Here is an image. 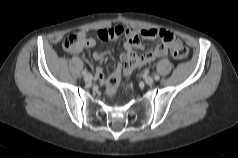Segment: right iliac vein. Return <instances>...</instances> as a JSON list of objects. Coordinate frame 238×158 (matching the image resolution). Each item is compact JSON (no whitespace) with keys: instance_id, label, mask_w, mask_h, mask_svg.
Wrapping results in <instances>:
<instances>
[{"instance_id":"obj_1","label":"right iliac vein","mask_w":238,"mask_h":158,"mask_svg":"<svg viewBox=\"0 0 238 158\" xmlns=\"http://www.w3.org/2000/svg\"><path fill=\"white\" fill-rule=\"evenodd\" d=\"M84 80H85L86 82H91V81L93 80V76H92L91 74H86V75L84 76Z\"/></svg>"}]
</instances>
